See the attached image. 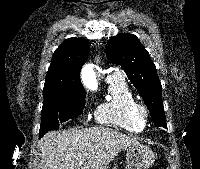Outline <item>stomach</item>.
I'll return each mask as SVG.
<instances>
[{"label": "stomach", "instance_id": "stomach-1", "mask_svg": "<svg viewBox=\"0 0 200 169\" xmlns=\"http://www.w3.org/2000/svg\"><path fill=\"white\" fill-rule=\"evenodd\" d=\"M155 161L153 151L144 145H133L126 149V169H148Z\"/></svg>", "mask_w": 200, "mask_h": 169}]
</instances>
